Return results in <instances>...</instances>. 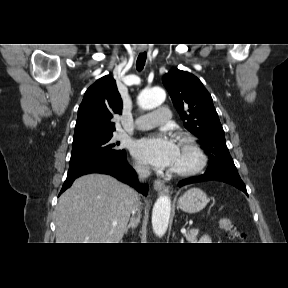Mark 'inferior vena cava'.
Listing matches in <instances>:
<instances>
[{"mask_svg": "<svg viewBox=\"0 0 288 288\" xmlns=\"http://www.w3.org/2000/svg\"><path fill=\"white\" fill-rule=\"evenodd\" d=\"M135 170L138 174L140 181H144L147 177L150 176V173H151L149 167L145 166V165H136ZM137 201H138V199H137ZM136 211L140 212L138 202L134 205L132 213L134 214Z\"/></svg>", "mask_w": 288, "mask_h": 288, "instance_id": "1", "label": "inferior vena cava"}]
</instances>
